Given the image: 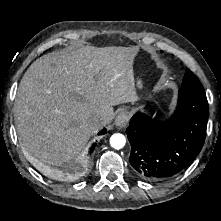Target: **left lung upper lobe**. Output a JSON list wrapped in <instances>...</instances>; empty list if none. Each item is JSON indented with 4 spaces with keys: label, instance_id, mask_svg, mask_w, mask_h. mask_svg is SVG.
Listing matches in <instances>:
<instances>
[{
    "label": "left lung upper lobe",
    "instance_id": "obj_1",
    "mask_svg": "<svg viewBox=\"0 0 221 221\" xmlns=\"http://www.w3.org/2000/svg\"><path fill=\"white\" fill-rule=\"evenodd\" d=\"M181 89H184L191 93L205 95V91L202 84L200 83L198 78L194 75V73L190 70H186L185 72Z\"/></svg>",
    "mask_w": 221,
    "mask_h": 221
}]
</instances>
